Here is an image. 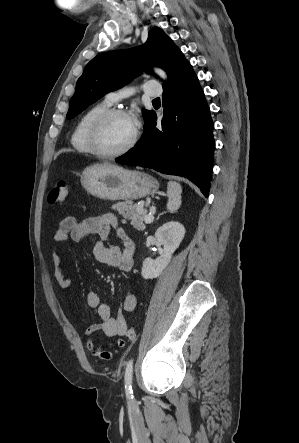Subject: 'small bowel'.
Wrapping results in <instances>:
<instances>
[{
    "label": "small bowel",
    "mask_w": 299,
    "mask_h": 443,
    "mask_svg": "<svg viewBox=\"0 0 299 443\" xmlns=\"http://www.w3.org/2000/svg\"><path fill=\"white\" fill-rule=\"evenodd\" d=\"M112 230H115L118 236L123 238L122 247L109 242ZM91 235L99 237L93 250L94 258L98 262L126 272L133 269L135 257L132 243L125 239L114 214L108 213L84 220H78L74 216L66 217L60 222L54 235V240L58 245L69 238L75 242H80ZM52 262L58 286L64 290L70 289L71 281L65 275L63 258L58 246L54 247ZM86 302L87 306L95 312L98 321L87 326L85 334L90 336L95 332L102 331L109 338H117L123 336L127 330L126 313L135 310L137 296L133 292H127L123 297L119 310L114 316L111 314L110 306L104 303L97 293L89 292L86 296ZM124 345L125 342L122 339H117L108 347H99L96 346L92 338L88 337L86 339V347L92 355L104 360H110Z\"/></svg>",
    "instance_id": "1"
}]
</instances>
